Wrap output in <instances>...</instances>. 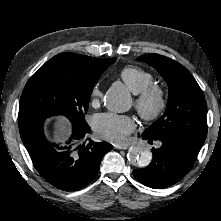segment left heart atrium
I'll return each instance as SVG.
<instances>
[{"instance_id": "39dd6f15", "label": "left heart atrium", "mask_w": 221, "mask_h": 221, "mask_svg": "<svg viewBox=\"0 0 221 221\" xmlns=\"http://www.w3.org/2000/svg\"><path fill=\"white\" fill-rule=\"evenodd\" d=\"M136 124L132 117L115 113H100L93 119V128L102 138L123 143L128 135L135 130Z\"/></svg>"}]
</instances>
